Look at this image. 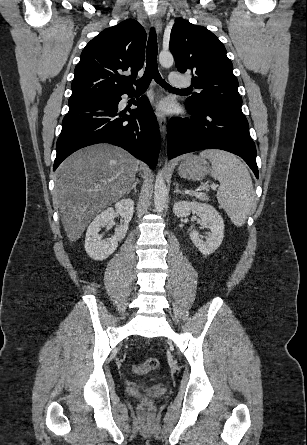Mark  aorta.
I'll list each match as a JSON object with an SVG mask.
<instances>
[{"instance_id": "1", "label": "aorta", "mask_w": 307, "mask_h": 445, "mask_svg": "<svg viewBox=\"0 0 307 445\" xmlns=\"http://www.w3.org/2000/svg\"><path fill=\"white\" fill-rule=\"evenodd\" d=\"M159 62L162 66H165V68H170V66H172L174 58L170 50H161L159 54ZM166 194L167 186L165 180L161 174H158L154 184V204L156 212H163L165 208Z\"/></svg>"}]
</instances>
